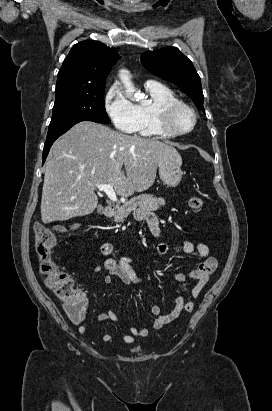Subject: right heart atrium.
<instances>
[{
  "instance_id": "right-heart-atrium-1",
  "label": "right heart atrium",
  "mask_w": 272,
  "mask_h": 411,
  "mask_svg": "<svg viewBox=\"0 0 272 411\" xmlns=\"http://www.w3.org/2000/svg\"><path fill=\"white\" fill-rule=\"evenodd\" d=\"M104 108L113 125L121 132L133 133L137 125L136 105L114 84L106 92Z\"/></svg>"
}]
</instances>
